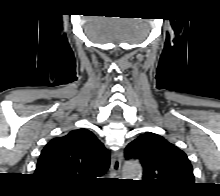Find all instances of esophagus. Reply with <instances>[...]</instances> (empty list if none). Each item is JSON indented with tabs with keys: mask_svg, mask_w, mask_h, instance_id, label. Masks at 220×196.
I'll return each mask as SVG.
<instances>
[{
	"mask_svg": "<svg viewBox=\"0 0 220 196\" xmlns=\"http://www.w3.org/2000/svg\"><path fill=\"white\" fill-rule=\"evenodd\" d=\"M122 161H123L122 151H116L112 154V160L110 166V175L112 178L120 179Z\"/></svg>",
	"mask_w": 220,
	"mask_h": 196,
	"instance_id": "34e87169",
	"label": "esophagus"
}]
</instances>
